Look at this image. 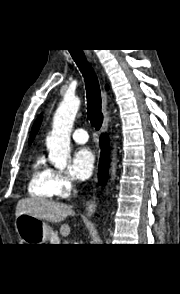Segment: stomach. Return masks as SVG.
I'll use <instances>...</instances> for the list:
<instances>
[{"instance_id": "0dacf381", "label": "stomach", "mask_w": 180, "mask_h": 294, "mask_svg": "<svg viewBox=\"0 0 180 294\" xmlns=\"http://www.w3.org/2000/svg\"><path fill=\"white\" fill-rule=\"evenodd\" d=\"M15 229L24 244H43L55 235L46 222L28 214L16 218Z\"/></svg>"}]
</instances>
